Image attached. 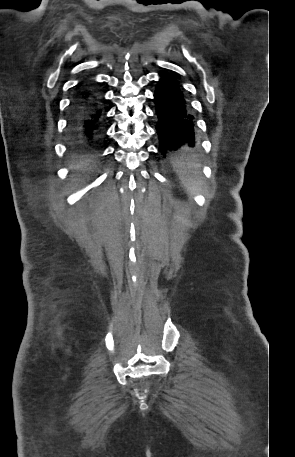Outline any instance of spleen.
<instances>
[{"instance_id":"1","label":"spleen","mask_w":295,"mask_h":457,"mask_svg":"<svg viewBox=\"0 0 295 457\" xmlns=\"http://www.w3.org/2000/svg\"><path fill=\"white\" fill-rule=\"evenodd\" d=\"M176 171L180 174L181 180L185 187L192 193L198 194L202 181L194 175L193 170L197 168L195 158L192 156H183L176 165Z\"/></svg>"}]
</instances>
